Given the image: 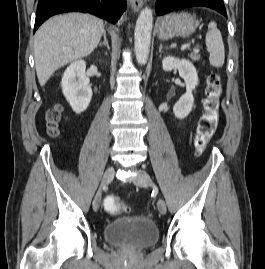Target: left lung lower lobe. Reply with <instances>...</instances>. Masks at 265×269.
I'll return each mask as SVG.
<instances>
[{"instance_id":"obj_1","label":"left lung lower lobe","mask_w":265,"mask_h":269,"mask_svg":"<svg viewBox=\"0 0 265 269\" xmlns=\"http://www.w3.org/2000/svg\"><path fill=\"white\" fill-rule=\"evenodd\" d=\"M194 6L208 7L227 17L223 0H164L157 2L155 8L156 13L161 16L169 12Z\"/></svg>"}]
</instances>
